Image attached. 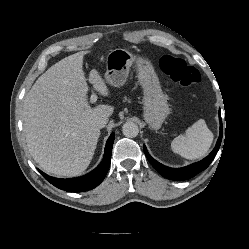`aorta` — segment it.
Returning a JSON list of instances; mask_svg holds the SVG:
<instances>
[{
    "label": "aorta",
    "mask_w": 249,
    "mask_h": 249,
    "mask_svg": "<svg viewBox=\"0 0 249 249\" xmlns=\"http://www.w3.org/2000/svg\"><path fill=\"white\" fill-rule=\"evenodd\" d=\"M123 135L129 138H134L139 133L138 125L134 122L128 121L122 126Z\"/></svg>",
    "instance_id": "aorta-1"
}]
</instances>
